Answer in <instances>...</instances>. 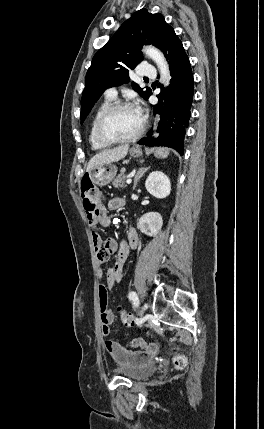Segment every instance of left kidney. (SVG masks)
<instances>
[{
	"label": "left kidney",
	"instance_id": "1",
	"mask_svg": "<svg viewBox=\"0 0 264 429\" xmlns=\"http://www.w3.org/2000/svg\"><path fill=\"white\" fill-rule=\"evenodd\" d=\"M146 190L158 199L169 196L171 184L169 178L161 171L149 174L145 182ZM140 231L148 236H155L163 225L162 216L157 212L144 214L137 223Z\"/></svg>",
	"mask_w": 264,
	"mask_h": 429
}]
</instances>
